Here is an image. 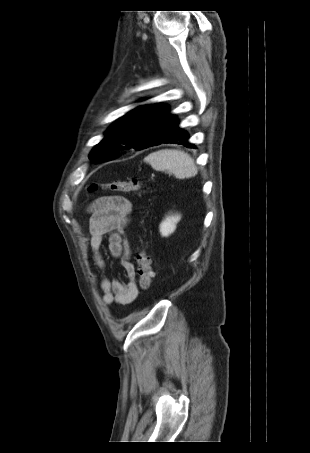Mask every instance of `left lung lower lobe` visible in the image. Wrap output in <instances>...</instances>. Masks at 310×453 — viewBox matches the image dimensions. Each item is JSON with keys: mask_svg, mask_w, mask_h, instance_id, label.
<instances>
[{"mask_svg": "<svg viewBox=\"0 0 310 453\" xmlns=\"http://www.w3.org/2000/svg\"><path fill=\"white\" fill-rule=\"evenodd\" d=\"M188 139H189L188 133L179 127V122L175 118L173 120V123H172L169 131L166 133L164 138L153 143L150 146L159 145L162 143H174V144H182L188 148H196L193 144L189 143Z\"/></svg>", "mask_w": 310, "mask_h": 453, "instance_id": "0a47b994", "label": "left lung lower lobe"}]
</instances>
